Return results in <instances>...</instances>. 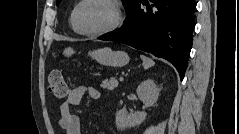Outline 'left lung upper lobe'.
<instances>
[{
	"label": "left lung upper lobe",
	"instance_id": "obj_1",
	"mask_svg": "<svg viewBox=\"0 0 239 134\" xmlns=\"http://www.w3.org/2000/svg\"><path fill=\"white\" fill-rule=\"evenodd\" d=\"M136 0H123L124 6L127 9V12L130 10L131 6ZM61 2V0H56V4L58 5Z\"/></svg>",
	"mask_w": 239,
	"mask_h": 134
}]
</instances>
